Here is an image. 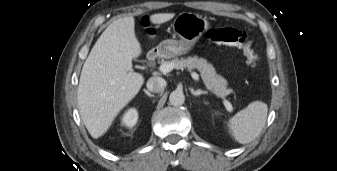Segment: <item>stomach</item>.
I'll return each mask as SVG.
<instances>
[{"instance_id": "1", "label": "stomach", "mask_w": 337, "mask_h": 171, "mask_svg": "<svg viewBox=\"0 0 337 171\" xmlns=\"http://www.w3.org/2000/svg\"><path fill=\"white\" fill-rule=\"evenodd\" d=\"M208 26L207 19L198 14L180 13L172 24L175 34L180 39L162 41L158 46L160 53L165 57L186 54L207 30Z\"/></svg>"}]
</instances>
